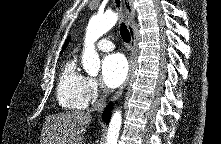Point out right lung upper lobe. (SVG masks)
Listing matches in <instances>:
<instances>
[{
  "label": "right lung upper lobe",
  "instance_id": "obj_1",
  "mask_svg": "<svg viewBox=\"0 0 221 144\" xmlns=\"http://www.w3.org/2000/svg\"><path fill=\"white\" fill-rule=\"evenodd\" d=\"M69 41H70V37L66 40V42H65V44H64V47H63V50L67 47ZM63 50H62V52H63Z\"/></svg>",
  "mask_w": 221,
  "mask_h": 144
}]
</instances>
